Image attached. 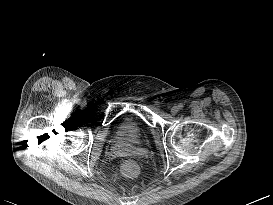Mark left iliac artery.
I'll use <instances>...</instances> for the list:
<instances>
[{
  "label": "left iliac artery",
  "mask_w": 273,
  "mask_h": 205,
  "mask_svg": "<svg viewBox=\"0 0 273 205\" xmlns=\"http://www.w3.org/2000/svg\"><path fill=\"white\" fill-rule=\"evenodd\" d=\"M179 108H180V109H181V108H183V105H182V104H180V105H179Z\"/></svg>",
  "instance_id": "44dca946"
}]
</instances>
